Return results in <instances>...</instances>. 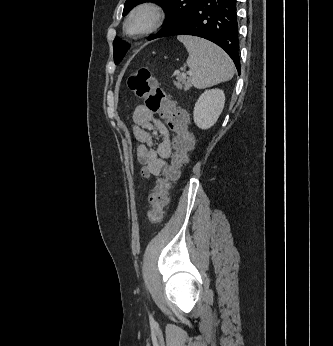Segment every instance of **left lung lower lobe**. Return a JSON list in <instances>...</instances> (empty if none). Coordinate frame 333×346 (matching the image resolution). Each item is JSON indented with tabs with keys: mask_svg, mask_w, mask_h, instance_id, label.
<instances>
[{
	"mask_svg": "<svg viewBox=\"0 0 333 346\" xmlns=\"http://www.w3.org/2000/svg\"><path fill=\"white\" fill-rule=\"evenodd\" d=\"M193 35L219 45L232 58L240 74L236 0H197L186 16L159 37Z\"/></svg>",
	"mask_w": 333,
	"mask_h": 346,
	"instance_id": "left-lung-lower-lobe-1",
	"label": "left lung lower lobe"
}]
</instances>
